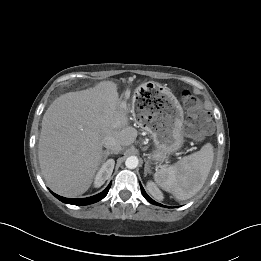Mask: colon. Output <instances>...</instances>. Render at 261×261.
Segmentation results:
<instances>
[{"mask_svg": "<svg viewBox=\"0 0 261 261\" xmlns=\"http://www.w3.org/2000/svg\"><path fill=\"white\" fill-rule=\"evenodd\" d=\"M182 101L187 117L185 132L189 137L201 138L212 130V123L207 113L202 108L201 100L189 91H183Z\"/></svg>", "mask_w": 261, "mask_h": 261, "instance_id": "colon-1", "label": "colon"}]
</instances>
